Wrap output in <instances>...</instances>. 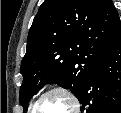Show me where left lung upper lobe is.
<instances>
[{"mask_svg": "<svg viewBox=\"0 0 121 113\" xmlns=\"http://www.w3.org/2000/svg\"><path fill=\"white\" fill-rule=\"evenodd\" d=\"M121 25L111 0H45L30 28L21 62L19 101H28L47 83L77 98Z\"/></svg>", "mask_w": 121, "mask_h": 113, "instance_id": "5c2ea615", "label": "left lung upper lobe"}]
</instances>
